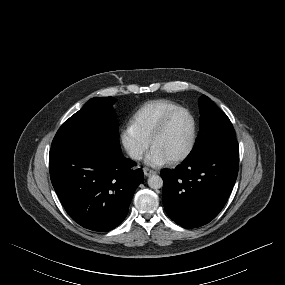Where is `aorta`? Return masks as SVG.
Wrapping results in <instances>:
<instances>
[{"mask_svg":"<svg viewBox=\"0 0 285 285\" xmlns=\"http://www.w3.org/2000/svg\"><path fill=\"white\" fill-rule=\"evenodd\" d=\"M148 185L152 189H159L163 186V180L158 175H151L148 179Z\"/></svg>","mask_w":285,"mask_h":285,"instance_id":"1","label":"aorta"}]
</instances>
